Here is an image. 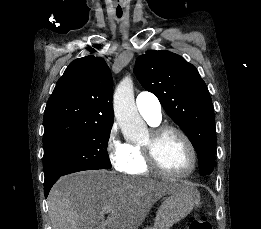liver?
Returning a JSON list of instances; mask_svg holds the SVG:
<instances>
[{
	"label": "liver",
	"instance_id": "1",
	"mask_svg": "<svg viewBox=\"0 0 261 229\" xmlns=\"http://www.w3.org/2000/svg\"><path fill=\"white\" fill-rule=\"evenodd\" d=\"M173 191L169 181L81 171L55 183L48 213L52 229H138L154 203Z\"/></svg>",
	"mask_w": 261,
	"mask_h": 229
}]
</instances>
